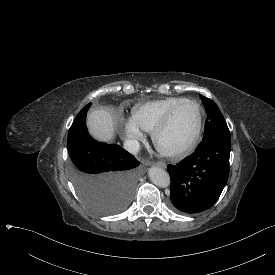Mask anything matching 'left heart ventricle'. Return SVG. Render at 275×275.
<instances>
[{"label": "left heart ventricle", "mask_w": 275, "mask_h": 275, "mask_svg": "<svg viewBox=\"0 0 275 275\" xmlns=\"http://www.w3.org/2000/svg\"><path fill=\"white\" fill-rule=\"evenodd\" d=\"M196 119V109L192 104L181 105L174 113L169 128L159 138V144L166 148L181 145L192 133Z\"/></svg>", "instance_id": "obj_1"}]
</instances>
